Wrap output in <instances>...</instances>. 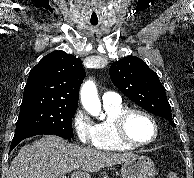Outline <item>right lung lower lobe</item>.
<instances>
[{
  "mask_svg": "<svg viewBox=\"0 0 194 178\" xmlns=\"http://www.w3.org/2000/svg\"><path fill=\"white\" fill-rule=\"evenodd\" d=\"M40 134H53V133L48 132V131H44V130H26V131L16 132L14 135V138L11 142L10 151L13 150L15 148V146L18 143H20L22 140H24L28 137L40 135ZM63 138L71 139L70 137H63Z\"/></svg>",
  "mask_w": 194,
  "mask_h": 178,
  "instance_id": "98d812e1",
  "label": "right lung lower lobe"
}]
</instances>
